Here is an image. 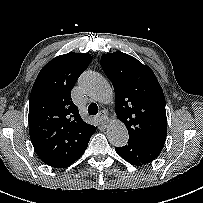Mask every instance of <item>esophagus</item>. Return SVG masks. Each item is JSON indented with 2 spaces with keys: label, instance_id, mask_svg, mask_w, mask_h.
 I'll return each mask as SVG.
<instances>
[{
  "label": "esophagus",
  "instance_id": "34e87169",
  "mask_svg": "<svg viewBox=\"0 0 203 203\" xmlns=\"http://www.w3.org/2000/svg\"><path fill=\"white\" fill-rule=\"evenodd\" d=\"M98 118L100 119V121L102 122H106L108 120V116L107 113L105 111H100L98 114Z\"/></svg>",
  "mask_w": 203,
  "mask_h": 203
}]
</instances>
